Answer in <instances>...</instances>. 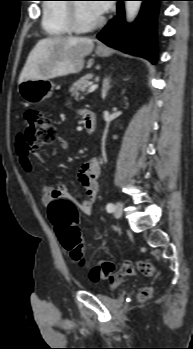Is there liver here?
<instances>
[{
    "instance_id": "6515ba94",
    "label": "liver",
    "mask_w": 193,
    "mask_h": 349,
    "mask_svg": "<svg viewBox=\"0 0 193 349\" xmlns=\"http://www.w3.org/2000/svg\"><path fill=\"white\" fill-rule=\"evenodd\" d=\"M94 47L90 38L48 37L41 39L30 52L18 83L29 79H52L78 73L84 58Z\"/></svg>"
}]
</instances>
